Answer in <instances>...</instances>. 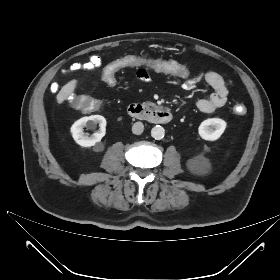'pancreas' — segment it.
I'll use <instances>...</instances> for the list:
<instances>
[{
	"label": "pancreas",
	"mask_w": 280,
	"mask_h": 280,
	"mask_svg": "<svg viewBox=\"0 0 280 280\" xmlns=\"http://www.w3.org/2000/svg\"><path fill=\"white\" fill-rule=\"evenodd\" d=\"M143 104H144V106L147 107V108H149V107H154V108H155V107H156V105H155L154 103L148 102V101H147V102H144Z\"/></svg>",
	"instance_id": "obj_1"
}]
</instances>
